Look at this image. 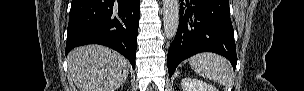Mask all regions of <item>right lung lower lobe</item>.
I'll list each match as a JSON object with an SVG mask.
<instances>
[{
  "label": "right lung lower lobe",
  "instance_id": "1",
  "mask_svg": "<svg viewBox=\"0 0 304 91\" xmlns=\"http://www.w3.org/2000/svg\"><path fill=\"white\" fill-rule=\"evenodd\" d=\"M140 0H72L66 55L77 46L101 44L135 69Z\"/></svg>",
  "mask_w": 304,
  "mask_h": 91
}]
</instances>
